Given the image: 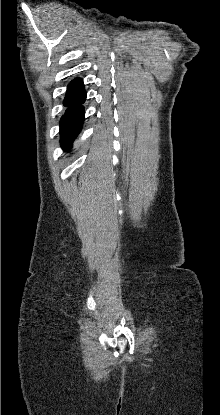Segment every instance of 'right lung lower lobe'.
I'll return each instance as SVG.
<instances>
[{
    "label": "right lung lower lobe",
    "mask_w": 220,
    "mask_h": 415,
    "mask_svg": "<svg viewBox=\"0 0 220 415\" xmlns=\"http://www.w3.org/2000/svg\"><path fill=\"white\" fill-rule=\"evenodd\" d=\"M85 99L86 92L82 79H74L68 85L63 101L67 109L60 120V142L64 150L71 149L74 139L81 131L84 121V107L82 104L85 102Z\"/></svg>",
    "instance_id": "1"
}]
</instances>
